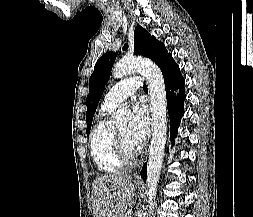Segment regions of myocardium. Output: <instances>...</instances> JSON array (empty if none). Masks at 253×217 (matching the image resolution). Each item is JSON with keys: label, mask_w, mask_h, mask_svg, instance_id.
Listing matches in <instances>:
<instances>
[{"label": "myocardium", "mask_w": 253, "mask_h": 217, "mask_svg": "<svg viewBox=\"0 0 253 217\" xmlns=\"http://www.w3.org/2000/svg\"><path fill=\"white\" fill-rule=\"evenodd\" d=\"M112 144L115 154L123 162H130L134 160L139 153L140 147L129 148L116 130L112 131Z\"/></svg>", "instance_id": "1"}]
</instances>
